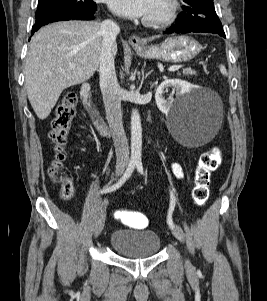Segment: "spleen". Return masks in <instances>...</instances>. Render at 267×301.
<instances>
[{"label": "spleen", "instance_id": "spleen-1", "mask_svg": "<svg viewBox=\"0 0 267 301\" xmlns=\"http://www.w3.org/2000/svg\"><path fill=\"white\" fill-rule=\"evenodd\" d=\"M219 69H220L221 74L227 76V70L224 65H220Z\"/></svg>", "mask_w": 267, "mask_h": 301}]
</instances>
